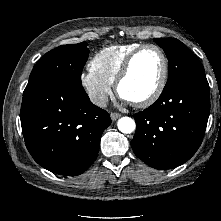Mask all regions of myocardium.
<instances>
[{
  "label": "myocardium",
  "instance_id": "f54148a6",
  "mask_svg": "<svg viewBox=\"0 0 221 221\" xmlns=\"http://www.w3.org/2000/svg\"><path fill=\"white\" fill-rule=\"evenodd\" d=\"M148 48L155 49L160 54V57L162 59V72H161L159 82H158L156 88L154 89V91L146 98L139 100V101L132 102L137 107H148V106L152 105L154 102H156L159 99V97L162 95V93L165 89L167 79H168L169 63H168V58H167L165 52L163 51V49L156 44H143V45L139 46L138 48L133 50L128 55V57L126 58L123 66H122V68H121V70L115 80L116 91L120 97H123L121 94V90H120L123 81L130 74L132 65H133L136 57L142 51H144Z\"/></svg>",
  "mask_w": 221,
  "mask_h": 221
}]
</instances>
